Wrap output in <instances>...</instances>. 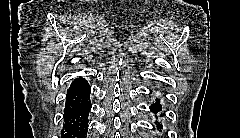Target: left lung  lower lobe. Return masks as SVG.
I'll return each instance as SVG.
<instances>
[{"mask_svg":"<svg viewBox=\"0 0 240 138\" xmlns=\"http://www.w3.org/2000/svg\"><path fill=\"white\" fill-rule=\"evenodd\" d=\"M156 100H157V102L155 104L151 105V107H150L151 111L154 112L155 114L162 109L161 105L159 104V99H156ZM157 128H161L160 123L157 124Z\"/></svg>","mask_w":240,"mask_h":138,"instance_id":"left-lung-lower-lobe-1","label":"left lung lower lobe"}]
</instances>
